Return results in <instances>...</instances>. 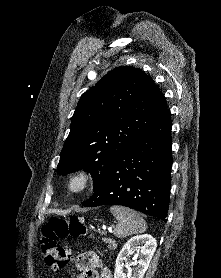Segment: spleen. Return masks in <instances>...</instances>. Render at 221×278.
Listing matches in <instances>:
<instances>
[{
    "mask_svg": "<svg viewBox=\"0 0 221 278\" xmlns=\"http://www.w3.org/2000/svg\"><path fill=\"white\" fill-rule=\"evenodd\" d=\"M110 211L119 221L114 229L116 237L125 238L146 231V222L136 211L123 206H111Z\"/></svg>",
    "mask_w": 221,
    "mask_h": 278,
    "instance_id": "obj_1",
    "label": "spleen"
}]
</instances>
